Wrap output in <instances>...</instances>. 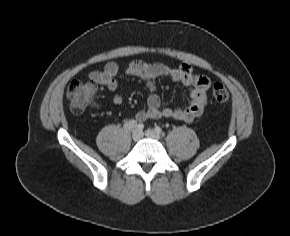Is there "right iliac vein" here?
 <instances>
[{"mask_svg": "<svg viewBox=\"0 0 290 236\" xmlns=\"http://www.w3.org/2000/svg\"><path fill=\"white\" fill-rule=\"evenodd\" d=\"M141 136H142V134H141V132L138 131V130H134L133 133H132V139H133L134 141H138V140H140Z\"/></svg>", "mask_w": 290, "mask_h": 236, "instance_id": "63e3f726", "label": "right iliac vein"}]
</instances>
